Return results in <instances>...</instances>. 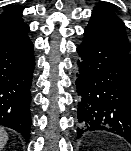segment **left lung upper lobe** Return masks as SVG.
I'll return each instance as SVG.
<instances>
[{
	"mask_svg": "<svg viewBox=\"0 0 131 151\" xmlns=\"http://www.w3.org/2000/svg\"><path fill=\"white\" fill-rule=\"evenodd\" d=\"M115 48L129 52V40L124 23L104 4L95 6L85 33Z\"/></svg>",
	"mask_w": 131,
	"mask_h": 151,
	"instance_id": "1",
	"label": "left lung upper lobe"
}]
</instances>
